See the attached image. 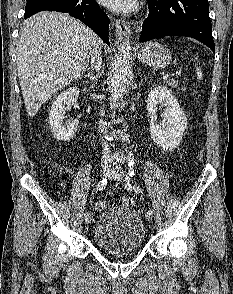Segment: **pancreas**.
Returning <instances> with one entry per match:
<instances>
[{
  "label": "pancreas",
  "instance_id": "obj_1",
  "mask_svg": "<svg viewBox=\"0 0 233 294\" xmlns=\"http://www.w3.org/2000/svg\"><path fill=\"white\" fill-rule=\"evenodd\" d=\"M169 86L173 87V88H177L178 87V83L174 80H170L166 82Z\"/></svg>",
  "mask_w": 233,
  "mask_h": 294
}]
</instances>
